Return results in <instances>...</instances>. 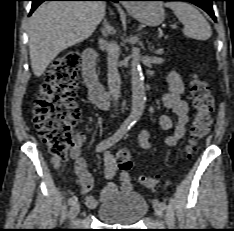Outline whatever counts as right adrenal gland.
Returning <instances> with one entry per match:
<instances>
[{"mask_svg": "<svg viewBox=\"0 0 234 231\" xmlns=\"http://www.w3.org/2000/svg\"><path fill=\"white\" fill-rule=\"evenodd\" d=\"M104 37L108 36L111 33H114L113 27L109 24L107 19H104L103 27L100 29Z\"/></svg>", "mask_w": 234, "mask_h": 231, "instance_id": "right-adrenal-gland-1", "label": "right adrenal gland"}]
</instances>
